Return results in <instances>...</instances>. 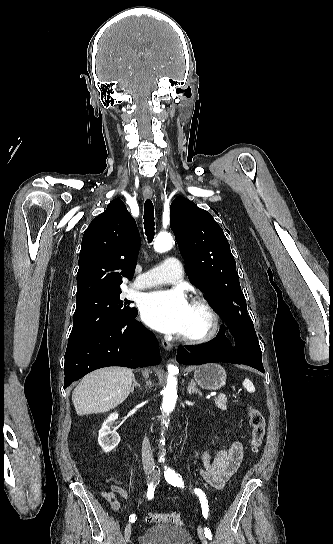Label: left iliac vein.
<instances>
[{
  "mask_svg": "<svg viewBox=\"0 0 333 544\" xmlns=\"http://www.w3.org/2000/svg\"><path fill=\"white\" fill-rule=\"evenodd\" d=\"M198 535L202 544H208L207 537L205 536L203 529L200 526L198 527Z\"/></svg>",
  "mask_w": 333,
  "mask_h": 544,
  "instance_id": "left-iliac-vein-1",
  "label": "left iliac vein"
}]
</instances>
